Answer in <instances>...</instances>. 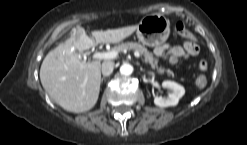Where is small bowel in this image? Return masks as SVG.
<instances>
[{"instance_id":"c3829d8e","label":"small bowel","mask_w":247,"mask_h":145,"mask_svg":"<svg viewBox=\"0 0 247 145\" xmlns=\"http://www.w3.org/2000/svg\"><path fill=\"white\" fill-rule=\"evenodd\" d=\"M199 52V46L195 41H185L175 45L165 43L155 48L158 57L166 58L171 63H176L180 58L195 57Z\"/></svg>"}]
</instances>
